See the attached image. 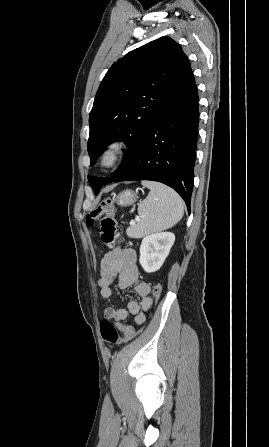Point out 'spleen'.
Here are the masks:
<instances>
[{
	"instance_id": "obj_1",
	"label": "spleen",
	"mask_w": 269,
	"mask_h": 447,
	"mask_svg": "<svg viewBox=\"0 0 269 447\" xmlns=\"http://www.w3.org/2000/svg\"><path fill=\"white\" fill-rule=\"evenodd\" d=\"M141 184L151 192L138 206V214L142 220L128 227L129 237H144L148 233L168 229L180 222L184 214L183 200L172 188L159 182H141Z\"/></svg>"
}]
</instances>
